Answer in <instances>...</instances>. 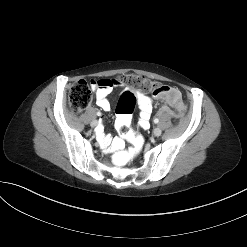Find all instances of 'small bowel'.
Returning <instances> with one entry per match:
<instances>
[{"label":"small bowel","instance_id":"1","mask_svg":"<svg viewBox=\"0 0 247 247\" xmlns=\"http://www.w3.org/2000/svg\"><path fill=\"white\" fill-rule=\"evenodd\" d=\"M122 87H124V84L121 83L118 79H102L99 81H95L93 88L95 90L97 105L104 111H109L111 109V104L108 100L109 94L113 91V89ZM137 99L140 108L139 126L140 128L146 130L150 127L152 100L149 96L143 93H139L137 95ZM98 139L104 147H109L113 150L118 149L122 146V141L120 139L110 140L103 134H100L98 136Z\"/></svg>","mask_w":247,"mask_h":247}]
</instances>
